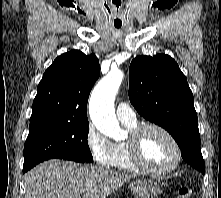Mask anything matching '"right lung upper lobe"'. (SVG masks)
I'll return each mask as SVG.
<instances>
[{"instance_id":"obj_1","label":"right lung upper lobe","mask_w":221,"mask_h":198,"mask_svg":"<svg viewBox=\"0 0 221 198\" xmlns=\"http://www.w3.org/2000/svg\"><path fill=\"white\" fill-rule=\"evenodd\" d=\"M100 74L94 54L72 50L57 57L37 87L30 123L85 122L90 91Z\"/></svg>"}]
</instances>
